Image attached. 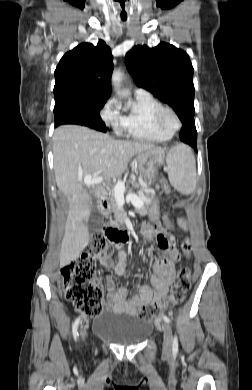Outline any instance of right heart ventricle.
Listing matches in <instances>:
<instances>
[{
	"label": "right heart ventricle",
	"instance_id": "e07e8e85",
	"mask_svg": "<svg viewBox=\"0 0 252 390\" xmlns=\"http://www.w3.org/2000/svg\"><path fill=\"white\" fill-rule=\"evenodd\" d=\"M162 104L152 97L135 96L127 105L122 116L118 134L133 140L159 143L168 141L172 133L161 130L155 123V113Z\"/></svg>",
	"mask_w": 252,
	"mask_h": 390
}]
</instances>
